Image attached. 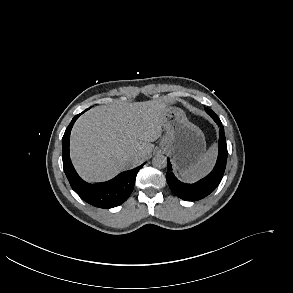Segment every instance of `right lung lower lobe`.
I'll list each match as a JSON object with an SVG mask.
<instances>
[{
  "instance_id": "right-lung-lower-lobe-1",
  "label": "right lung lower lobe",
  "mask_w": 293,
  "mask_h": 293,
  "mask_svg": "<svg viewBox=\"0 0 293 293\" xmlns=\"http://www.w3.org/2000/svg\"><path fill=\"white\" fill-rule=\"evenodd\" d=\"M83 113V112H82ZM76 115L67 127L62 138L63 168L72 189L87 203L100 207L112 208L122 204L130 196L137 172L143 165L120 173L115 178L102 184L93 185L82 180L75 171L69 155V137L74 122L82 114Z\"/></svg>"
}]
</instances>
